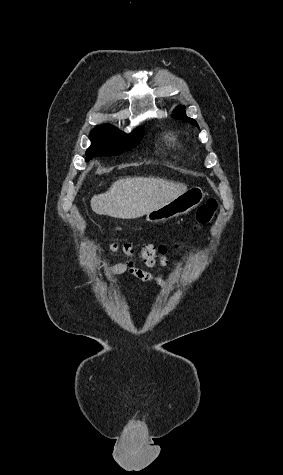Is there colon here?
Returning <instances> with one entry per match:
<instances>
[{"mask_svg": "<svg viewBox=\"0 0 283 475\" xmlns=\"http://www.w3.org/2000/svg\"><path fill=\"white\" fill-rule=\"evenodd\" d=\"M217 207V202L214 199L202 204L196 211L195 227L199 229L209 225L216 215ZM110 251L114 254H122L127 259H132L137 255L147 266H154L157 263L164 265L168 258L167 248L164 245L146 244L136 253L130 244L124 246L113 244L110 246ZM126 266L131 267L129 263Z\"/></svg>", "mask_w": 283, "mask_h": 475, "instance_id": "1", "label": "colon"}]
</instances>
